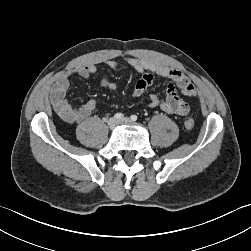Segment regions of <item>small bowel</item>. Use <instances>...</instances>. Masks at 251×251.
Masks as SVG:
<instances>
[{"instance_id":"obj_1","label":"small bowel","mask_w":251,"mask_h":251,"mask_svg":"<svg viewBox=\"0 0 251 251\" xmlns=\"http://www.w3.org/2000/svg\"><path fill=\"white\" fill-rule=\"evenodd\" d=\"M106 65L112 70H120L124 67L142 73L141 78L136 82L133 96L140 97L147 88L154 82L155 76L165 77L173 83L169 84L165 90V96L160 97L151 94L148 97V106L150 108H161L165 113L172 115L184 116L191 109L190 103L177 95L176 88L182 94L189 98L197 95L196 88L192 81L180 70L166 66L160 62L142 59V58H125L124 60H108ZM97 72L94 64H89L76 68L71 73L61 75L53 84L50 93L51 103L56 114L67 123H79L93 114L96 108L95 100H88L81 106H73L66 98L70 88V75L76 74L81 78H88ZM101 86L109 91H115L116 83L106 77L101 78Z\"/></svg>"}]
</instances>
